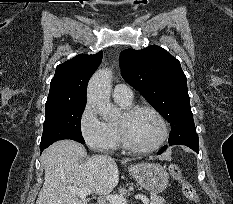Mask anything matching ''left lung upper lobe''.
I'll return each instance as SVG.
<instances>
[{
	"label": "left lung upper lobe",
	"mask_w": 233,
	"mask_h": 204,
	"mask_svg": "<svg viewBox=\"0 0 233 204\" xmlns=\"http://www.w3.org/2000/svg\"><path fill=\"white\" fill-rule=\"evenodd\" d=\"M119 63L124 80L170 122L168 142L184 134H196L186 76L175 57L151 45L122 51Z\"/></svg>",
	"instance_id": "5c2ea615"
}]
</instances>
